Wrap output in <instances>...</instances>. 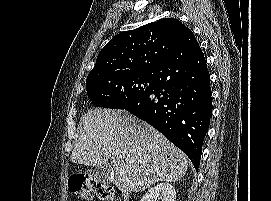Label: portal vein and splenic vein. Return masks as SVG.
<instances>
[{"label":"portal vein and splenic vein","mask_w":271,"mask_h":201,"mask_svg":"<svg viewBox=\"0 0 271 201\" xmlns=\"http://www.w3.org/2000/svg\"><path fill=\"white\" fill-rule=\"evenodd\" d=\"M125 162H126L127 164L133 163V161H132L130 158H125Z\"/></svg>","instance_id":"portal-vein-and-splenic-vein-1"}]
</instances>
